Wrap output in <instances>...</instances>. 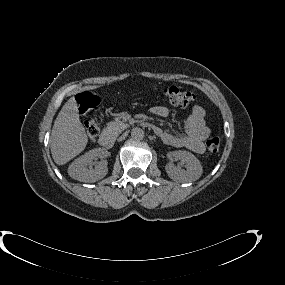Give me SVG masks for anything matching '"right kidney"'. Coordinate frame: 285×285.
<instances>
[{"instance_id":"ca27d5eb","label":"right kidney","mask_w":285,"mask_h":285,"mask_svg":"<svg viewBox=\"0 0 285 285\" xmlns=\"http://www.w3.org/2000/svg\"><path fill=\"white\" fill-rule=\"evenodd\" d=\"M106 150L95 148L77 158L68 168V174L75 180L82 182H95L106 176L108 172L107 161L104 160ZM97 157L102 160L95 164L94 168L87 167Z\"/></svg>"}]
</instances>
